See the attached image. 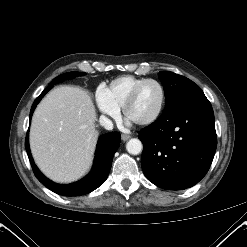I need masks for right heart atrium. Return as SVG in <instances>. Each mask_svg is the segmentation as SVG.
<instances>
[{
    "mask_svg": "<svg viewBox=\"0 0 247 247\" xmlns=\"http://www.w3.org/2000/svg\"><path fill=\"white\" fill-rule=\"evenodd\" d=\"M96 102L99 110L112 117L117 118L119 109L115 107L108 98L107 91L104 87H99L96 91Z\"/></svg>",
    "mask_w": 247,
    "mask_h": 247,
    "instance_id": "obj_1",
    "label": "right heart atrium"
}]
</instances>
